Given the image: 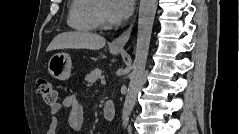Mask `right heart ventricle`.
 <instances>
[{"mask_svg":"<svg viewBox=\"0 0 239 134\" xmlns=\"http://www.w3.org/2000/svg\"><path fill=\"white\" fill-rule=\"evenodd\" d=\"M96 0H73L69 6L68 25L81 32H91L97 28L94 16Z\"/></svg>","mask_w":239,"mask_h":134,"instance_id":"obj_1","label":"right heart ventricle"}]
</instances>
